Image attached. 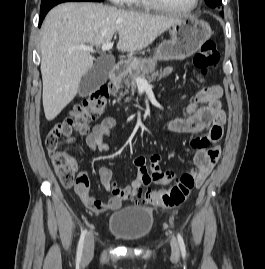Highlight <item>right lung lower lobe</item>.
Segmentation results:
<instances>
[{
  "instance_id": "right-lung-lower-lobe-1",
  "label": "right lung lower lobe",
  "mask_w": 265,
  "mask_h": 269,
  "mask_svg": "<svg viewBox=\"0 0 265 269\" xmlns=\"http://www.w3.org/2000/svg\"><path fill=\"white\" fill-rule=\"evenodd\" d=\"M102 2L103 0H42L41 7H40V19H39V26H41V23L45 17V15L48 13V11L53 8L55 5L63 2Z\"/></svg>"
}]
</instances>
